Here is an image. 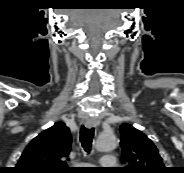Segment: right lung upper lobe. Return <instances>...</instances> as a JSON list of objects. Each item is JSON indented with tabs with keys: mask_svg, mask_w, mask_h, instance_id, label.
I'll return each mask as SVG.
<instances>
[{
	"mask_svg": "<svg viewBox=\"0 0 184 173\" xmlns=\"http://www.w3.org/2000/svg\"><path fill=\"white\" fill-rule=\"evenodd\" d=\"M71 135L63 122H57L35 137L22 153L15 173H69L65 158L70 153Z\"/></svg>",
	"mask_w": 184,
	"mask_h": 173,
	"instance_id": "cb5924a9",
	"label": "right lung upper lobe"
}]
</instances>
